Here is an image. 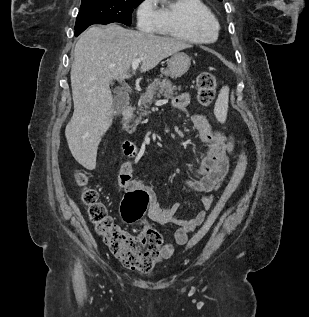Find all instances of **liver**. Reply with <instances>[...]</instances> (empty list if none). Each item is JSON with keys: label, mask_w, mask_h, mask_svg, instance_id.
<instances>
[{"label": "liver", "mask_w": 309, "mask_h": 317, "mask_svg": "<svg viewBox=\"0 0 309 317\" xmlns=\"http://www.w3.org/2000/svg\"><path fill=\"white\" fill-rule=\"evenodd\" d=\"M191 45L168 37L125 29L117 24L87 29L75 45L71 67L74 113L65 129L77 162L94 169L98 145L112 125V80L129 79L132 60L141 59V72Z\"/></svg>", "instance_id": "obj_1"}]
</instances>
